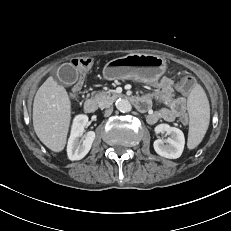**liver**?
<instances>
[{
  "label": "liver",
  "mask_w": 231,
  "mask_h": 231,
  "mask_svg": "<svg viewBox=\"0 0 231 231\" xmlns=\"http://www.w3.org/2000/svg\"><path fill=\"white\" fill-rule=\"evenodd\" d=\"M71 120V101L66 89L53 77L38 89L33 103V127L40 141L54 152L64 149Z\"/></svg>",
  "instance_id": "6515ba94"
}]
</instances>
